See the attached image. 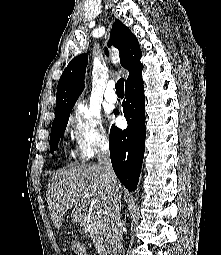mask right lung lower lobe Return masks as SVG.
Instances as JSON below:
<instances>
[{"mask_svg": "<svg viewBox=\"0 0 221 255\" xmlns=\"http://www.w3.org/2000/svg\"><path fill=\"white\" fill-rule=\"evenodd\" d=\"M142 69L143 67L125 85L126 101L123 102V114L128 126L121 130L112 125L109 136L112 167L129 191H134L137 187L145 150V96Z\"/></svg>", "mask_w": 221, "mask_h": 255, "instance_id": "right-lung-lower-lobe-1", "label": "right lung lower lobe"}]
</instances>
